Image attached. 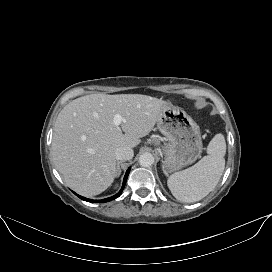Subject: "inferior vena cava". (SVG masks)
Wrapping results in <instances>:
<instances>
[{"label": "inferior vena cava", "instance_id": "1", "mask_svg": "<svg viewBox=\"0 0 272 272\" xmlns=\"http://www.w3.org/2000/svg\"><path fill=\"white\" fill-rule=\"evenodd\" d=\"M134 153L131 147H118L115 151V158L117 160L126 161L132 159Z\"/></svg>", "mask_w": 272, "mask_h": 272}]
</instances>
